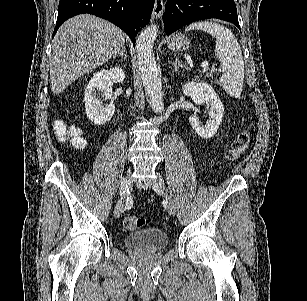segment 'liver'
<instances>
[{"label": "liver", "instance_id": "liver-1", "mask_svg": "<svg viewBox=\"0 0 307 301\" xmlns=\"http://www.w3.org/2000/svg\"><path fill=\"white\" fill-rule=\"evenodd\" d=\"M126 34L104 18L77 14L58 28L49 58L50 86L61 94L73 80L101 66L125 44Z\"/></svg>", "mask_w": 307, "mask_h": 301}]
</instances>
